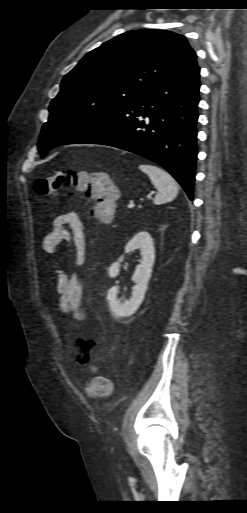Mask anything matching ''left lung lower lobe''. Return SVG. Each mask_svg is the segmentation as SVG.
<instances>
[{
  "mask_svg": "<svg viewBox=\"0 0 247 513\" xmlns=\"http://www.w3.org/2000/svg\"><path fill=\"white\" fill-rule=\"evenodd\" d=\"M199 72L195 56L180 73L66 144L108 145L147 158L165 168L192 200Z\"/></svg>",
  "mask_w": 247,
  "mask_h": 513,
  "instance_id": "1",
  "label": "left lung lower lobe"
}]
</instances>
